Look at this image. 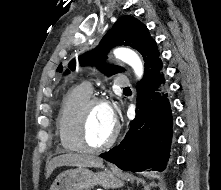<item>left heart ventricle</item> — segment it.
I'll use <instances>...</instances> for the list:
<instances>
[{"instance_id":"left-heart-ventricle-1","label":"left heart ventricle","mask_w":221,"mask_h":190,"mask_svg":"<svg viewBox=\"0 0 221 190\" xmlns=\"http://www.w3.org/2000/svg\"><path fill=\"white\" fill-rule=\"evenodd\" d=\"M114 128L115 124L110 119L108 106L96 105L91 109L86 125V136L91 145H99L107 141Z\"/></svg>"}]
</instances>
